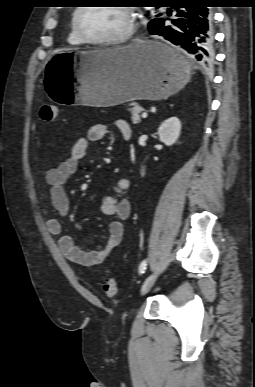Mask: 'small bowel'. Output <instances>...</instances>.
Instances as JSON below:
<instances>
[{
    "label": "small bowel",
    "mask_w": 255,
    "mask_h": 387,
    "mask_svg": "<svg viewBox=\"0 0 255 387\" xmlns=\"http://www.w3.org/2000/svg\"><path fill=\"white\" fill-rule=\"evenodd\" d=\"M114 125L123 138L125 135L130 137L131 129L126 121L119 119ZM108 132L107 124H93L85 136L76 140L68 157L56 167L46 171L44 181L49 188L51 205L61 217H67L70 210L69 197L64 188L65 183L77 171L81 161L86 157L90 142L102 140ZM129 188L130 180L120 178L114 184L112 193L103 198L101 211L104 215L112 217L113 220L109 224L108 237L98 250L86 251L77 246L74 239L64 233L60 219L51 217L46 221L48 231L59 237V249L69 261L85 267L97 266L120 245L124 235V221L131 214V203L123 197Z\"/></svg>",
    "instance_id": "1"
}]
</instances>
